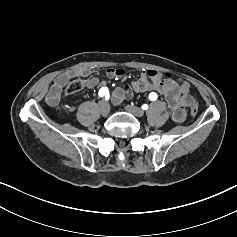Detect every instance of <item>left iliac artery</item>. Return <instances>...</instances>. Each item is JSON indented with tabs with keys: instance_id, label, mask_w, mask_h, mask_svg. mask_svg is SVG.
I'll return each mask as SVG.
<instances>
[{
	"instance_id": "1",
	"label": "left iliac artery",
	"mask_w": 237,
	"mask_h": 237,
	"mask_svg": "<svg viewBox=\"0 0 237 237\" xmlns=\"http://www.w3.org/2000/svg\"><path fill=\"white\" fill-rule=\"evenodd\" d=\"M157 94L155 93V92H151L150 94H149V99L151 100V101H155L156 99H157ZM142 109L143 110H147L148 109V105H146V104H144L143 106H142Z\"/></svg>"
}]
</instances>
